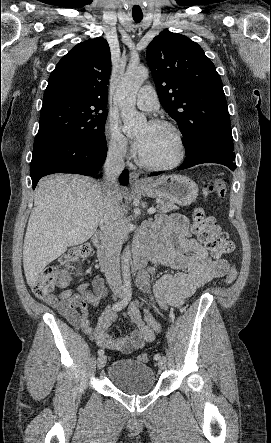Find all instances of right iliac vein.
<instances>
[{"instance_id":"right-iliac-vein-1","label":"right iliac vein","mask_w":271,"mask_h":443,"mask_svg":"<svg viewBox=\"0 0 271 443\" xmlns=\"http://www.w3.org/2000/svg\"><path fill=\"white\" fill-rule=\"evenodd\" d=\"M106 362H107V357L106 356H104V355L99 356L97 358V367H98V369H102L105 366Z\"/></svg>"}]
</instances>
